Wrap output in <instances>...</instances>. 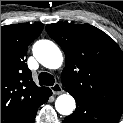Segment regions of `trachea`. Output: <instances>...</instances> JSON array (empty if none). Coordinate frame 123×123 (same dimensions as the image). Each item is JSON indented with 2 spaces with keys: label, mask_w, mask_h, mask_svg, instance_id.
Masks as SVG:
<instances>
[{
  "label": "trachea",
  "mask_w": 123,
  "mask_h": 123,
  "mask_svg": "<svg viewBox=\"0 0 123 123\" xmlns=\"http://www.w3.org/2000/svg\"><path fill=\"white\" fill-rule=\"evenodd\" d=\"M39 82L40 85L52 86L54 84V77L47 72H42L39 74Z\"/></svg>",
  "instance_id": "obj_1"
}]
</instances>
